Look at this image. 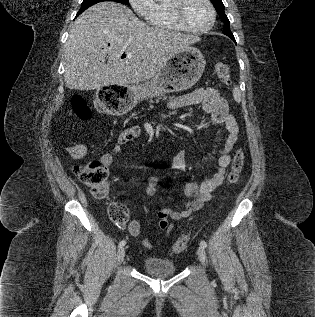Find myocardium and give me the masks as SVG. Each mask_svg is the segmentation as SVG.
<instances>
[{
	"label": "myocardium",
	"mask_w": 315,
	"mask_h": 317,
	"mask_svg": "<svg viewBox=\"0 0 315 317\" xmlns=\"http://www.w3.org/2000/svg\"><path fill=\"white\" fill-rule=\"evenodd\" d=\"M187 0H171L170 3V11L173 20L175 23L183 30L193 33H205L211 30L215 24L216 21V10L214 5L212 4L211 0H204V2L207 4L209 10H210V22L207 26L202 28H194L188 25L184 19L183 11L184 6L186 4Z\"/></svg>",
	"instance_id": "myocardium-1"
}]
</instances>
